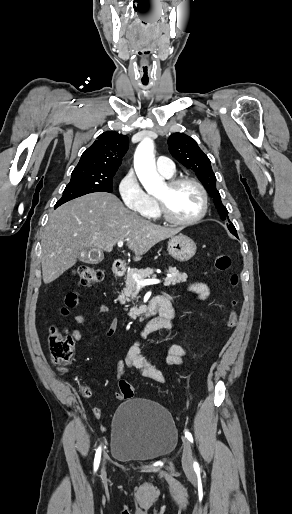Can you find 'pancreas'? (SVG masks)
<instances>
[{
  "mask_svg": "<svg viewBox=\"0 0 292 514\" xmlns=\"http://www.w3.org/2000/svg\"><path fill=\"white\" fill-rule=\"evenodd\" d=\"M155 270L153 268H145V270H130L126 276V284L125 288L119 296L118 300L121 302V304H125V302H131L130 298L134 300V298H137L136 296V282L133 278V274H138V276H141V280H145V278H156V274H154ZM169 274H171L172 278H163L164 280V286H176V284H180V282H186L188 276L187 274H183V272H178L176 268H169L167 270ZM140 310H137V308H131L129 316H139Z\"/></svg>",
  "mask_w": 292,
  "mask_h": 514,
  "instance_id": "1",
  "label": "pancreas"
}]
</instances>
